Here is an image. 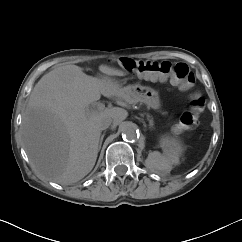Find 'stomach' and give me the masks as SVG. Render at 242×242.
Returning a JSON list of instances; mask_svg holds the SVG:
<instances>
[{"mask_svg":"<svg viewBox=\"0 0 242 242\" xmlns=\"http://www.w3.org/2000/svg\"><path fill=\"white\" fill-rule=\"evenodd\" d=\"M126 92L136 102L145 103L149 108L158 110L161 107L159 93L151 87L135 84L127 86ZM160 145L164 150H174L178 153L182 152L181 144L169 138H162Z\"/></svg>","mask_w":242,"mask_h":242,"instance_id":"stomach-1","label":"stomach"}]
</instances>
